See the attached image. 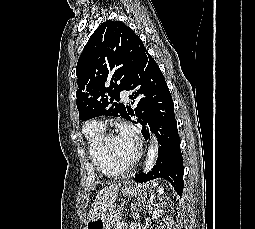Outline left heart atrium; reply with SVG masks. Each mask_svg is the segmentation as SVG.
<instances>
[{
    "label": "left heart atrium",
    "instance_id": "1",
    "mask_svg": "<svg viewBox=\"0 0 255 229\" xmlns=\"http://www.w3.org/2000/svg\"><path fill=\"white\" fill-rule=\"evenodd\" d=\"M120 138L133 147L138 146V138L135 129L131 126L125 125L120 132Z\"/></svg>",
    "mask_w": 255,
    "mask_h": 229
}]
</instances>
